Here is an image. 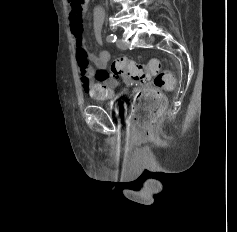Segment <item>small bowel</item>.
<instances>
[{
    "label": "small bowel",
    "mask_w": 237,
    "mask_h": 232,
    "mask_svg": "<svg viewBox=\"0 0 237 232\" xmlns=\"http://www.w3.org/2000/svg\"><path fill=\"white\" fill-rule=\"evenodd\" d=\"M103 11L99 8L93 13V30L98 42H101V29L103 25ZM69 24L74 36L76 58L80 72L83 90L92 98L107 100L114 97V89L118 81L110 77L108 63L111 55L107 50H102L98 56L89 54L84 45L81 11L71 9Z\"/></svg>",
    "instance_id": "1"
}]
</instances>
